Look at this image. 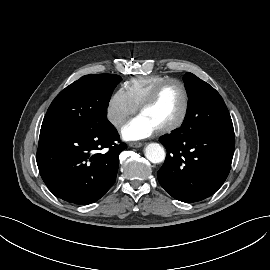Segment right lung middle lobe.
Segmentation results:
<instances>
[{
	"label": "right lung middle lobe",
	"mask_w": 270,
	"mask_h": 270,
	"mask_svg": "<svg viewBox=\"0 0 270 270\" xmlns=\"http://www.w3.org/2000/svg\"><path fill=\"white\" fill-rule=\"evenodd\" d=\"M121 81L115 74L85 75L62 90L49 106L41 130L98 129L110 122L107 107L113 89Z\"/></svg>",
	"instance_id": "right-lung-middle-lobe-1"
}]
</instances>
